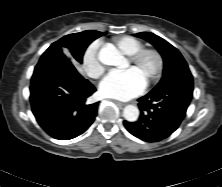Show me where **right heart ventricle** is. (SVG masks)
Segmentation results:
<instances>
[{
	"label": "right heart ventricle",
	"mask_w": 222,
	"mask_h": 187,
	"mask_svg": "<svg viewBox=\"0 0 222 187\" xmlns=\"http://www.w3.org/2000/svg\"><path fill=\"white\" fill-rule=\"evenodd\" d=\"M115 45L126 55L130 56L144 47L139 39L132 36H120L114 38Z\"/></svg>",
	"instance_id": "right-heart-ventricle-1"
}]
</instances>
